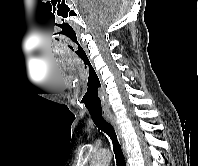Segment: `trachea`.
I'll list each match as a JSON object with an SVG mask.
<instances>
[{"label": "trachea", "mask_w": 198, "mask_h": 166, "mask_svg": "<svg viewBox=\"0 0 198 166\" xmlns=\"http://www.w3.org/2000/svg\"><path fill=\"white\" fill-rule=\"evenodd\" d=\"M90 115L94 124L98 127V129L105 132L110 137L113 144V151L115 154L117 166H126L121 145L118 142L116 132L112 127V125L108 121H106L102 113H90Z\"/></svg>", "instance_id": "3493384b"}]
</instances>
